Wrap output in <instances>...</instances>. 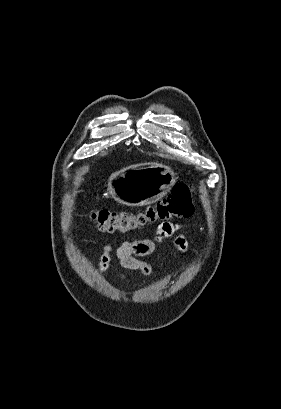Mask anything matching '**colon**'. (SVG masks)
<instances>
[{
    "mask_svg": "<svg viewBox=\"0 0 281 409\" xmlns=\"http://www.w3.org/2000/svg\"><path fill=\"white\" fill-rule=\"evenodd\" d=\"M193 188L177 185L170 195L145 209L136 212L96 210L90 215L101 230L108 233H132L159 221H169L189 216L193 211Z\"/></svg>",
    "mask_w": 281,
    "mask_h": 409,
    "instance_id": "1",
    "label": "colon"
}]
</instances>
